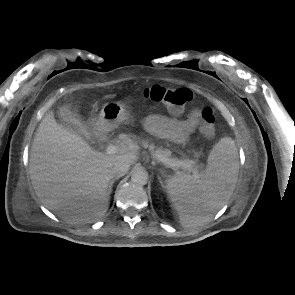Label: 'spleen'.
I'll list each match as a JSON object with an SVG mask.
<instances>
[{"mask_svg": "<svg viewBox=\"0 0 295 295\" xmlns=\"http://www.w3.org/2000/svg\"><path fill=\"white\" fill-rule=\"evenodd\" d=\"M238 153L234 141L222 138L211 150L201 174H177L167 180V193L183 226L205 223L231 197L238 177Z\"/></svg>", "mask_w": 295, "mask_h": 295, "instance_id": "3e777b00", "label": "spleen"}]
</instances>
